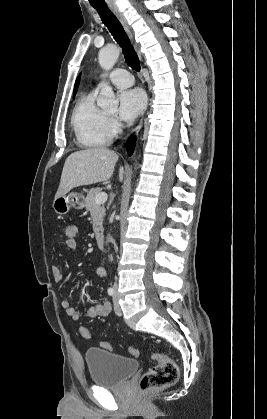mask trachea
I'll list each match as a JSON object with an SVG mask.
<instances>
[{"label": "trachea", "mask_w": 267, "mask_h": 419, "mask_svg": "<svg viewBox=\"0 0 267 419\" xmlns=\"http://www.w3.org/2000/svg\"><path fill=\"white\" fill-rule=\"evenodd\" d=\"M98 14L100 15L101 20L108 28L110 33L116 42L120 45L123 51V55L126 63L135 71H140V61L139 58L131 45V42L124 31L120 21L113 14V12L108 7L103 6H93Z\"/></svg>", "instance_id": "obj_1"}]
</instances>
